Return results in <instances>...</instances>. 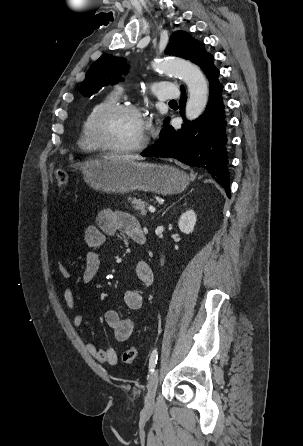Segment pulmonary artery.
<instances>
[{
	"label": "pulmonary artery",
	"mask_w": 303,
	"mask_h": 446,
	"mask_svg": "<svg viewBox=\"0 0 303 446\" xmlns=\"http://www.w3.org/2000/svg\"><path fill=\"white\" fill-rule=\"evenodd\" d=\"M154 94L161 101L178 98L179 93L176 86L170 82H158L154 85Z\"/></svg>",
	"instance_id": "e3ab8cb5"
}]
</instances>
